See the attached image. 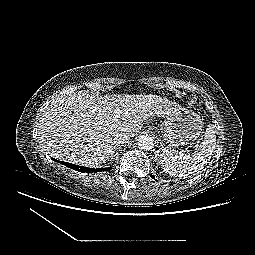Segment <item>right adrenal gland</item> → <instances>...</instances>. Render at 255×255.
Masks as SVG:
<instances>
[{
  "label": "right adrenal gland",
  "mask_w": 255,
  "mask_h": 255,
  "mask_svg": "<svg viewBox=\"0 0 255 255\" xmlns=\"http://www.w3.org/2000/svg\"><path fill=\"white\" fill-rule=\"evenodd\" d=\"M118 148H115V150L113 151V154L112 155H114L115 156V151L117 150Z\"/></svg>",
  "instance_id": "obj_1"
}]
</instances>
